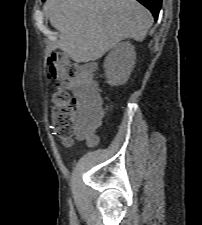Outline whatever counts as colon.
<instances>
[{
	"instance_id": "1",
	"label": "colon",
	"mask_w": 202,
	"mask_h": 225,
	"mask_svg": "<svg viewBox=\"0 0 202 225\" xmlns=\"http://www.w3.org/2000/svg\"><path fill=\"white\" fill-rule=\"evenodd\" d=\"M44 76L54 81L51 118L53 132L65 145H71L74 139H85L91 143L95 138L87 125L78 124L75 118V100L88 102V108L95 114L103 111L97 82L79 63L63 64L57 55L50 56L45 62Z\"/></svg>"
}]
</instances>
